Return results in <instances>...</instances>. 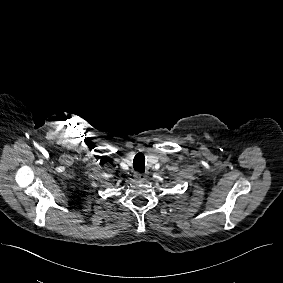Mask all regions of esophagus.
Returning a JSON list of instances; mask_svg holds the SVG:
<instances>
[{
    "mask_svg": "<svg viewBox=\"0 0 283 283\" xmlns=\"http://www.w3.org/2000/svg\"><path fill=\"white\" fill-rule=\"evenodd\" d=\"M134 179H135L136 181H144V180H145V175L142 174V173L136 172V173L134 174Z\"/></svg>",
    "mask_w": 283,
    "mask_h": 283,
    "instance_id": "esophagus-1",
    "label": "esophagus"
}]
</instances>
